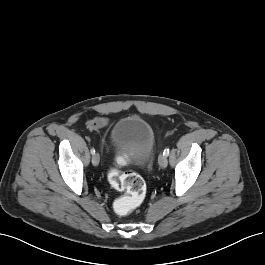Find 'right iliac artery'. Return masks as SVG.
I'll return each instance as SVG.
<instances>
[{"label": "right iliac artery", "mask_w": 265, "mask_h": 265, "mask_svg": "<svg viewBox=\"0 0 265 265\" xmlns=\"http://www.w3.org/2000/svg\"><path fill=\"white\" fill-rule=\"evenodd\" d=\"M90 152H91V154H94V153H95V149L92 148V149L90 150Z\"/></svg>", "instance_id": "obj_1"}]
</instances>
